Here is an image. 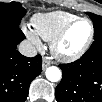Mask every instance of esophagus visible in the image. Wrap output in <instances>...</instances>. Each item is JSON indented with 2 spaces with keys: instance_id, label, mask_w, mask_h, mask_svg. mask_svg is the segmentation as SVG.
I'll return each mask as SVG.
<instances>
[{
  "instance_id": "34e87169",
  "label": "esophagus",
  "mask_w": 102,
  "mask_h": 102,
  "mask_svg": "<svg viewBox=\"0 0 102 102\" xmlns=\"http://www.w3.org/2000/svg\"><path fill=\"white\" fill-rule=\"evenodd\" d=\"M51 64H52V61L48 60L47 58H43V62H42L43 70L46 69Z\"/></svg>"
}]
</instances>
